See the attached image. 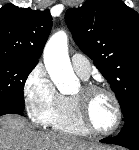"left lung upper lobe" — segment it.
Returning <instances> with one entry per match:
<instances>
[{"instance_id": "1", "label": "left lung upper lobe", "mask_w": 139, "mask_h": 150, "mask_svg": "<svg viewBox=\"0 0 139 150\" xmlns=\"http://www.w3.org/2000/svg\"><path fill=\"white\" fill-rule=\"evenodd\" d=\"M66 23L114 91L124 120L139 106V14L121 0H88Z\"/></svg>"}]
</instances>
